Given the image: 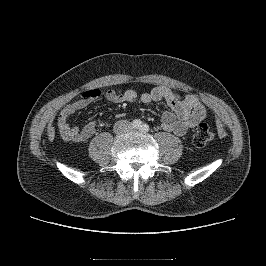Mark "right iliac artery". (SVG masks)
Wrapping results in <instances>:
<instances>
[{
  "instance_id": "right-iliac-artery-1",
  "label": "right iliac artery",
  "mask_w": 266,
  "mask_h": 266,
  "mask_svg": "<svg viewBox=\"0 0 266 266\" xmlns=\"http://www.w3.org/2000/svg\"><path fill=\"white\" fill-rule=\"evenodd\" d=\"M131 125H132L133 128L138 129V128L141 127L142 122L140 120H138V119H135V120L132 121Z\"/></svg>"
}]
</instances>
